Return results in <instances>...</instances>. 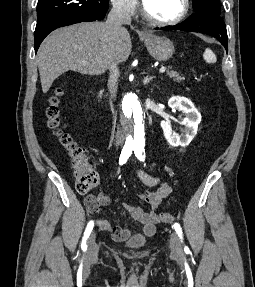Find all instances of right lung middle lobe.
Masks as SVG:
<instances>
[{
    "label": "right lung middle lobe",
    "mask_w": 255,
    "mask_h": 287,
    "mask_svg": "<svg viewBox=\"0 0 255 287\" xmlns=\"http://www.w3.org/2000/svg\"><path fill=\"white\" fill-rule=\"evenodd\" d=\"M109 7V0H38L37 22L56 16L80 13L101 20Z\"/></svg>",
    "instance_id": "dd1d6c3e"
}]
</instances>
